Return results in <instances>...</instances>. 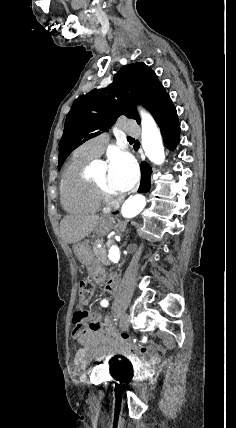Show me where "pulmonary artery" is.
<instances>
[{
    "label": "pulmonary artery",
    "instance_id": "1",
    "mask_svg": "<svg viewBox=\"0 0 236 428\" xmlns=\"http://www.w3.org/2000/svg\"><path fill=\"white\" fill-rule=\"evenodd\" d=\"M105 147L106 146H104V145L93 146L89 142V143L85 144V152L89 157L95 159L103 152Z\"/></svg>",
    "mask_w": 236,
    "mask_h": 428
}]
</instances>
